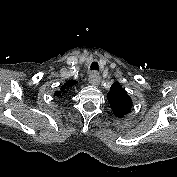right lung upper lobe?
<instances>
[{
	"instance_id": "obj_1",
	"label": "right lung upper lobe",
	"mask_w": 177,
	"mask_h": 177,
	"mask_svg": "<svg viewBox=\"0 0 177 177\" xmlns=\"http://www.w3.org/2000/svg\"><path fill=\"white\" fill-rule=\"evenodd\" d=\"M73 84H77L76 81H68L62 88L61 90L65 89L67 87H71ZM55 95L60 96L61 93L59 91L55 92Z\"/></svg>"
}]
</instances>
